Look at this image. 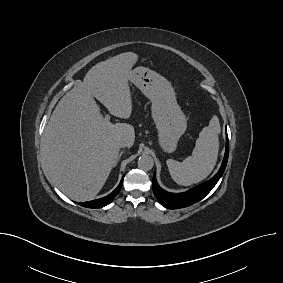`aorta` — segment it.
<instances>
[{
	"instance_id": "obj_1",
	"label": "aorta",
	"mask_w": 283,
	"mask_h": 283,
	"mask_svg": "<svg viewBox=\"0 0 283 283\" xmlns=\"http://www.w3.org/2000/svg\"><path fill=\"white\" fill-rule=\"evenodd\" d=\"M138 166L142 170L149 171L154 166V160L150 155L143 154L138 159Z\"/></svg>"
}]
</instances>
